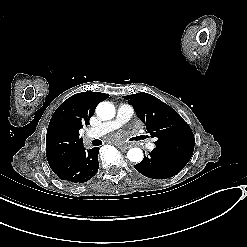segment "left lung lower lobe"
Returning <instances> with one entry per match:
<instances>
[{"mask_svg": "<svg viewBox=\"0 0 247 247\" xmlns=\"http://www.w3.org/2000/svg\"><path fill=\"white\" fill-rule=\"evenodd\" d=\"M190 158L175 152L155 148L149 156L134 165L142 175L153 179H166L178 174Z\"/></svg>", "mask_w": 247, "mask_h": 247, "instance_id": "left-lung-lower-lobe-1", "label": "left lung lower lobe"}]
</instances>
